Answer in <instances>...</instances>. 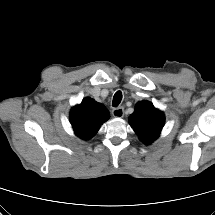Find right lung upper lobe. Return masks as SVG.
I'll return each instance as SVG.
<instances>
[{"label":"right lung upper lobe","mask_w":215,"mask_h":215,"mask_svg":"<svg viewBox=\"0 0 215 215\" xmlns=\"http://www.w3.org/2000/svg\"><path fill=\"white\" fill-rule=\"evenodd\" d=\"M108 118L109 112L105 106L91 98H85L81 104L74 106L70 113L74 132L84 140L94 136Z\"/></svg>","instance_id":"cb5924a9"}]
</instances>
